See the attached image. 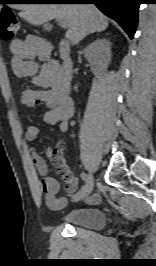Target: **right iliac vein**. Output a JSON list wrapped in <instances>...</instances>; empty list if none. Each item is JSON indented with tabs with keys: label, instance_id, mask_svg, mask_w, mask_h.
Instances as JSON below:
<instances>
[{
	"label": "right iliac vein",
	"instance_id": "obj_1",
	"mask_svg": "<svg viewBox=\"0 0 156 266\" xmlns=\"http://www.w3.org/2000/svg\"><path fill=\"white\" fill-rule=\"evenodd\" d=\"M85 182L86 183H85L83 190L73 196L72 198L73 201H79L87 197L91 193L92 188H93V182H94L93 175L91 172L88 174L87 180Z\"/></svg>",
	"mask_w": 156,
	"mask_h": 266
}]
</instances>
